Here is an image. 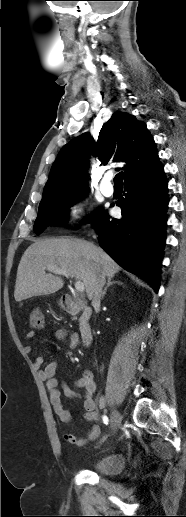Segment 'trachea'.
Instances as JSON below:
<instances>
[{
  "mask_svg": "<svg viewBox=\"0 0 186 517\" xmlns=\"http://www.w3.org/2000/svg\"><path fill=\"white\" fill-rule=\"evenodd\" d=\"M114 183L115 185L117 186H122L123 183H122V172H119L115 177H114Z\"/></svg>",
  "mask_w": 186,
  "mask_h": 517,
  "instance_id": "obj_1",
  "label": "trachea"
}]
</instances>
